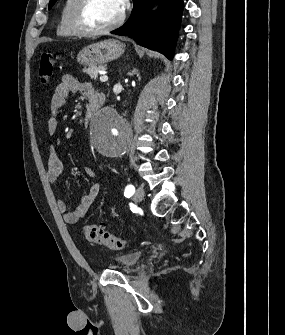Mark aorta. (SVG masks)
<instances>
[{"label":"aorta","mask_w":285,"mask_h":335,"mask_svg":"<svg viewBox=\"0 0 285 335\" xmlns=\"http://www.w3.org/2000/svg\"><path fill=\"white\" fill-rule=\"evenodd\" d=\"M119 102H127V95H112L108 105H102V112H94V119H89L87 134L92 137V147H98L100 156H121L129 151V141L133 130L121 119Z\"/></svg>","instance_id":"762f6f07"}]
</instances>
